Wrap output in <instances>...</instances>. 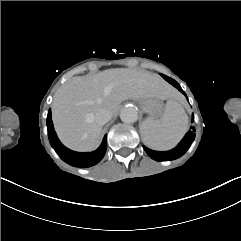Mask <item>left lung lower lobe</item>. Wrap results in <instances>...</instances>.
I'll return each instance as SVG.
<instances>
[{
  "mask_svg": "<svg viewBox=\"0 0 241 241\" xmlns=\"http://www.w3.org/2000/svg\"><path fill=\"white\" fill-rule=\"evenodd\" d=\"M161 76L186 96V94L184 93V91L182 90L180 85L174 79L167 77L163 74H161ZM191 129L192 130L188 131V133L185 135V137L182 139V141L178 144V146L170 151H155V150H151L145 146H143V148H144L145 152L152 159H154L156 161H165V160L176 159L187 151V149L189 148L193 139L195 138V133H194L195 128L191 127Z\"/></svg>",
  "mask_w": 241,
  "mask_h": 241,
  "instance_id": "0a47b994",
  "label": "left lung lower lobe"
}]
</instances>
